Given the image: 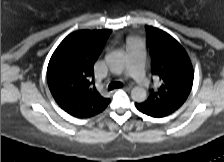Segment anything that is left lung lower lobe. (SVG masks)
<instances>
[{
	"instance_id": "1",
	"label": "left lung lower lobe",
	"mask_w": 224,
	"mask_h": 162,
	"mask_svg": "<svg viewBox=\"0 0 224 162\" xmlns=\"http://www.w3.org/2000/svg\"><path fill=\"white\" fill-rule=\"evenodd\" d=\"M135 105H136V108H137L139 111H141L142 113L147 114V115H149V116H152V117L159 118V117H164V116H167V115L170 114V113H165V112L145 111V110L141 109V108L139 107L138 104H135Z\"/></svg>"
}]
</instances>
